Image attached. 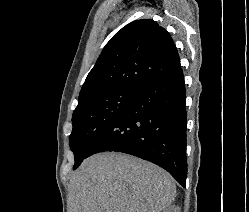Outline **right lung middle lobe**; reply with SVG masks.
<instances>
[{
	"instance_id": "dd1d6c3e",
	"label": "right lung middle lobe",
	"mask_w": 249,
	"mask_h": 212,
	"mask_svg": "<svg viewBox=\"0 0 249 212\" xmlns=\"http://www.w3.org/2000/svg\"><path fill=\"white\" fill-rule=\"evenodd\" d=\"M138 92L116 91L94 96L80 103L72 115L69 137L76 169L88 157L94 142L112 121L131 103Z\"/></svg>"
}]
</instances>
